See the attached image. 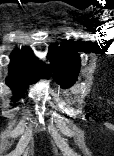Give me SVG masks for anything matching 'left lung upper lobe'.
<instances>
[{
    "label": "left lung upper lobe",
    "mask_w": 114,
    "mask_h": 156,
    "mask_svg": "<svg viewBox=\"0 0 114 156\" xmlns=\"http://www.w3.org/2000/svg\"><path fill=\"white\" fill-rule=\"evenodd\" d=\"M48 56L52 61L51 68L57 82L63 87L72 85L77 78L80 59L71 42H63L60 47L54 48Z\"/></svg>",
    "instance_id": "obj_1"
}]
</instances>
